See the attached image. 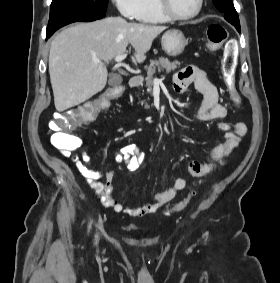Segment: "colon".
<instances>
[{"label": "colon", "instance_id": "5ec220e1", "mask_svg": "<svg viewBox=\"0 0 280 283\" xmlns=\"http://www.w3.org/2000/svg\"><path fill=\"white\" fill-rule=\"evenodd\" d=\"M207 48L210 51L224 47L221 73L223 82L231 94L238 100V94L235 86V74L237 67V43L233 39L227 40L226 29L219 24L210 25L207 29ZM107 92L103 98L90 102L81 107H76L75 110H62V114H53V119L48 123L51 131V142L59 151L63 153L71 152L81 145V140L74 134L69 132H77V127L80 124H91V120L98 119L97 112H102L105 102L109 99L117 98L122 92H125V87H105ZM188 203V199H184L176 205L174 211H181Z\"/></svg>", "mask_w": 280, "mask_h": 283}]
</instances>
